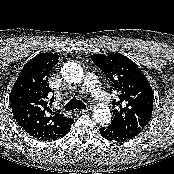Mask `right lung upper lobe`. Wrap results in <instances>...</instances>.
Returning a JSON list of instances; mask_svg holds the SVG:
<instances>
[{
    "instance_id": "cb5924a9",
    "label": "right lung upper lobe",
    "mask_w": 174,
    "mask_h": 174,
    "mask_svg": "<svg viewBox=\"0 0 174 174\" xmlns=\"http://www.w3.org/2000/svg\"><path fill=\"white\" fill-rule=\"evenodd\" d=\"M52 53L37 55L21 70L10 94L12 112L18 124L30 136L42 140H56L70 131L73 119L50 109L52 89L48 77L58 63Z\"/></svg>"
}]
</instances>
